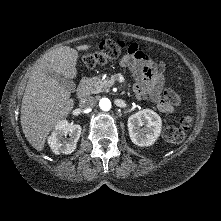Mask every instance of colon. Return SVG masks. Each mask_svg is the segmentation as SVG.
Segmentation results:
<instances>
[{"label":"colon","instance_id":"colon-1","mask_svg":"<svg viewBox=\"0 0 221 221\" xmlns=\"http://www.w3.org/2000/svg\"><path fill=\"white\" fill-rule=\"evenodd\" d=\"M121 51V46L112 40L104 41L101 47L96 52H90L84 55L83 62L88 67H95L97 65L105 64L106 62L116 58ZM164 70V63L157 61L152 65L151 71L154 74H161ZM164 100L171 105H178L180 97L178 93L172 89L167 88L163 94ZM192 118L186 115L180 119L179 125H169L164 129V138L172 143L181 142L186 135L187 130L190 128Z\"/></svg>","mask_w":221,"mask_h":221}]
</instances>
